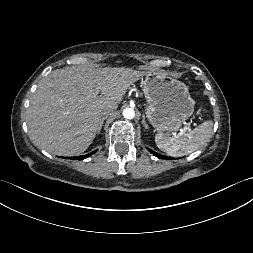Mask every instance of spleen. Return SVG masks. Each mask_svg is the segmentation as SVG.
<instances>
[{
  "instance_id": "obj_1",
  "label": "spleen",
  "mask_w": 253,
  "mask_h": 253,
  "mask_svg": "<svg viewBox=\"0 0 253 253\" xmlns=\"http://www.w3.org/2000/svg\"><path fill=\"white\" fill-rule=\"evenodd\" d=\"M213 122H203L189 133H180L178 136L164 135L159 132L155 136L157 147L169 156L180 157L190 154L205 145L211 137Z\"/></svg>"
}]
</instances>
